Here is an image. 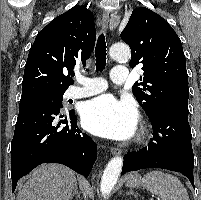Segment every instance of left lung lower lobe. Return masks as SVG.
Listing matches in <instances>:
<instances>
[{
	"mask_svg": "<svg viewBox=\"0 0 201 200\" xmlns=\"http://www.w3.org/2000/svg\"><path fill=\"white\" fill-rule=\"evenodd\" d=\"M148 117L153 127V139L148 146L124 156L122 175L144 168H163L182 173L194 187L188 103H162Z\"/></svg>",
	"mask_w": 201,
	"mask_h": 200,
	"instance_id": "left-lung-lower-lobe-1",
	"label": "left lung lower lobe"
}]
</instances>
